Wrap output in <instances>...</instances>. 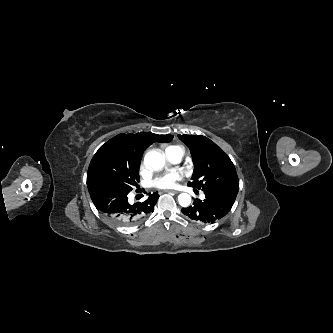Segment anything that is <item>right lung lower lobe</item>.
<instances>
[{"mask_svg":"<svg viewBox=\"0 0 333 333\" xmlns=\"http://www.w3.org/2000/svg\"><path fill=\"white\" fill-rule=\"evenodd\" d=\"M91 199L98 211L108 220L123 227L135 225L154 211L153 207L159 197L155 192L144 202L130 204L128 190L112 182L92 180L87 183ZM137 192L139 190H136Z\"/></svg>","mask_w":333,"mask_h":333,"instance_id":"1","label":"right lung lower lobe"}]
</instances>
